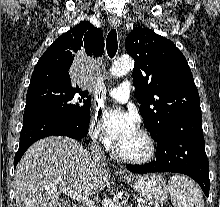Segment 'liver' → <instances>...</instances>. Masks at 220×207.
Instances as JSON below:
<instances>
[{"mask_svg":"<svg viewBox=\"0 0 220 207\" xmlns=\"http://www.w3.org/2000/svg\"><path fill=\"white\" fill-rule=\"evenodd\" d=\"M110 179L105 162H95L79 142L61 136L34 143L15 170L17 207H57L58 188L85 196L102 191Z\"/></svg>","mask_w":220,"mask_h":207,"instance_id":"liver-1","label":"liver"}]
</instances>
